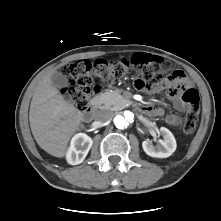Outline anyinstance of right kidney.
Returning a JSON list of instances; mask_svg holds the SVG:
<instances>
[{
	"mask_svg": "<svg viewBox=\"0 0 221 221\" xmlns=\"http://www.w3.org/2000/svg\"><path fill=\"white\" fill-rule=\"evenodd\" d=\"M92 144V139L85 133L76 134L72 138L70 147L66 154L67 162L71 165H78L82 163Z\"/></svg>",
	"mask_w": 221,
	"mask_h": 221,
	"instance_id": "ca27d5eb",
	"label": "right kidney"
}]
</instances>
